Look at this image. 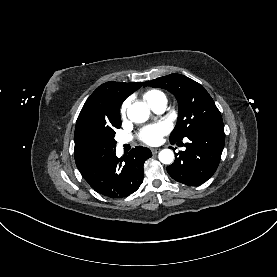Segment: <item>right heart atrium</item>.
<instances>
[{"mask_svg":"<svg viewBox=\"0 0 277 277\" xmlns=\"http://www.w3.org/2000/svg\"><path fill=\"white\" fill-rule=\"evenodd\" d=\"M127 106H128V101H125L121 107V115L125 116L126 114V110H127Z\"/></svg>","mask_w":277,"mask_h":277,"instance_id":"obj_1","label":"right heart atrium"}]
</instances>
